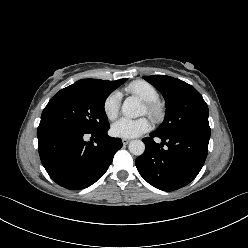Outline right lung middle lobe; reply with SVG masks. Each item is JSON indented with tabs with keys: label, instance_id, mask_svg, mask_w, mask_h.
I'll list each match as a JSON object with an SVG mask.
<instances>
[{
	"label": "right lung middle lobe",
	"instance_id": "1",
	"mask_svg": "<svg viewBox=\"0 0 248 248\" xmlns=\"http://www.w3.org/2000/svg\"><path fill=\"white\" fill-rule=\"evenodd\" d=\"M89 87L72 84L57 92L44 108L39 125L61 124L85 132H96L110 127L104 110L109 94L123 84Z\"/></svg>",
	"mask_w": 248,
	"mask_h": 248
}]
</instances>
